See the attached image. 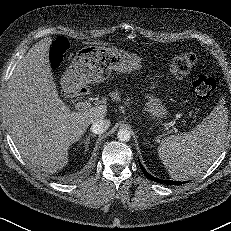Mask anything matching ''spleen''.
<instances>
[{"instance_id": "spleen-1", "label": "spleen", "mask_w": 231, "mask_h": 231, "mask_svg": "<svg viewBox=\"0 0 231 231\" xmlns=\"http://www.w3.org/2000/svg\"><path fill=\"white\" fill-rule=\"evenodd\" d=\"M219 105L191 132L171 135L158 146V155L172 179L189 180L208 168L224 146L228 109Z\"/></svg>"}]
</instances>
